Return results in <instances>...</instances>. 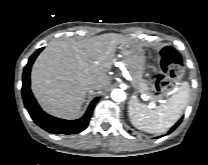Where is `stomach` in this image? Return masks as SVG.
<instances>
[{
    "instance_id": "obj_1",
    "label": "stomach",
    "mask_w": 208,
    "mask_h": 165,
    "mask_svg": "<svg viewBox=\"0 0 208 165\" xmlns=\"http://www.w3.org/2000/svg\"><path fill=\"white\" fill-rule=\"evenodd\" d=\"M121 53L124 62L131 68L133 77L132 86L137 93H142L143 74L146 69L145 56L140 47L134 44H121Z\"/></svg>"
}]
</instances>
